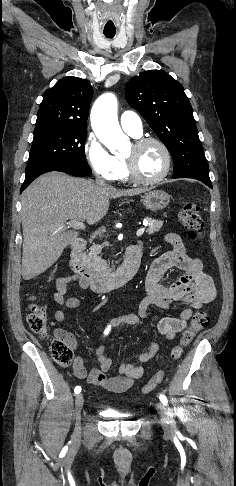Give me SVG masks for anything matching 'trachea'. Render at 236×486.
<instances>
[{"instance_id":"3493384b","label":"trachea","mask_w":236,"mask_h":486,"mask_svg":"<svg viewBox=\"0 0 236 486\" xmlns=\"http://www.w3.org/2000/svg\"><path fill=\"white\" fill-rule=\"evenodd\" d=\"M115 33L116 31H108V30H104V35L107 37V38H113L115 36Z\"/></svg>"}]
</instances>
